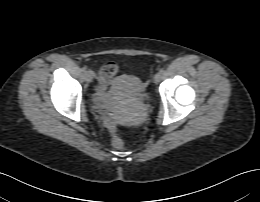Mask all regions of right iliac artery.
Returning <instances> with one entry per match:
<instances>
[{
    "mask_svg": "<svg viewBox=\"0 0 260 202\" xmlns=\"http://www.w3.org/2000/svg\"><path fill=\"white\" fill-rule=\"evenodd\" d=\"M83 72H86V68L85 67H82L81 69Z\"/></svg>",
    "mask_w": 260,
    "mask_h": 202,
    "instance_id": "obj_1",
    "label": "right iliac artery"
}]
</instances>
